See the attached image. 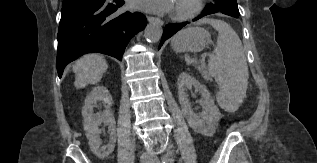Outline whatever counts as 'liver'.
I'll return each instance as SVG.
<instances>
[{
  "instance_id": "liver-1",
  "label": "liver",
  "mask_w": 317,
  "mask_h": 163,
  "mask_svg": "<svg viewBox=\"0 0 317 163\" xmlns=\"http://www.w3.org/2000/svg\"><path fill=\"white\" fill-rule=\"evenodd\" d=\"M107 68V62L103 56H99L97 54H88L83 56L73 65L72 68L75 73V87L80 89L88 84H96L100 82Z\"/></svg>"
}]
</instances>
